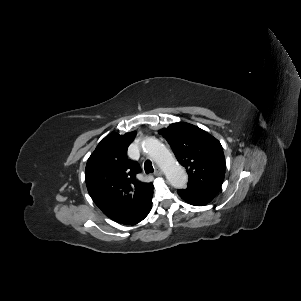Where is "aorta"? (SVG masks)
<instances>
[{"instance_id": "762f6f07", "label": "aorta", "mask_w": 301, "mask_h": 301, "mask_svg": "<svg viewBox=\"0 0 301 301\" xmlns=\"http://www.w3.org/2000/svg\"><path fill=\"white\" fill-rule=\"evenodd\" d=\"M143 150L163 170L168 182L175 188H185L187 174L183 167L176 162L171 152L156 138H146L142 142Z\"/></svg>"}]
</instances>
